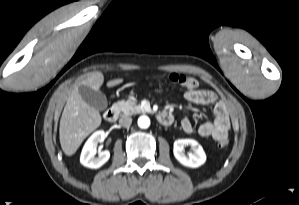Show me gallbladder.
<instances>
[{
	"instance_id": "obj_1",
	"label": "gallbladder",
	"mask_w": 299,
	"mask_h": 205,
	"mask_svg": "<svg viewBox=\"0 0 299 205\" xmlns=\"http://www.w3.org/2000/svg\"><path fill=\"white\" fill-rule=\"evenodd\" d=\"M79 94L82 99L93 108L99 111H103L107 108V98L101 91H95L88 86L80 85Z\"/></svg>"
}]
</instances>
